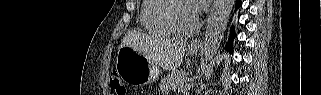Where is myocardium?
<instances>
[{
	"label": "myocardium",
	"mask_w": 321,
	"mask_h": 95,
	"mask_svg": "<svg viewBox=\"0 0 321 95\" xmlns=\"http://www.w3.org/2000/svg\"><path fill=\"white\" fill-rule=\"evenodd\" d=\"M177 3H185L191 6L190 3L186 0H165L164 4L159 10V19L172 34L176 36H181V37L189 36L195 33L199 29L201 24L200 18L196 15V20L194 22V25L190 29H187V30L179 29L173 23L170 15L173 6Z\"/></svg>",
	"instance_id": "myocardium-1"
}]
</instances>
